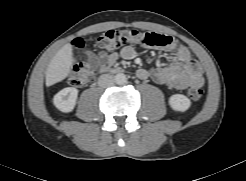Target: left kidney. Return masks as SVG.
<instances>
[{"mask_svg":"<svg viewBox=\"0 0 246 181\" xmlns=\"http://www.w3.org/2000/svg\"><path fill=\"white\" fill-rule=\"evenodd\" d=\"M169 105L174 111L184 112L189 109L191 101L182 94H174L169 98Z\"/></svg>","mask_w":246,"mask_h":181,"instance_id":"left-kidney-1","label":"left kidney"}]
</instances>
